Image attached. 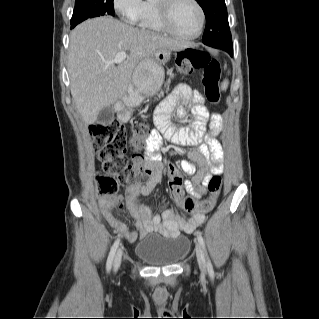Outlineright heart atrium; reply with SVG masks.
<instances>
[{
	"label": "right heart atrium",
	"mask_w": 319,
	"mask_h": 319,
	"mask_svg": "<svg viewBox=\"0 0 319 319\" xmlns=\"http://www.w3.org/2000/svg\"><path fill=\"white\" fill-rule=\"evenodd\" d=\"M143 6L142 0H114L113 7L117 14L127 23L138 22Z\"/></svg>",
	"instance_id": "1"
}]
</instances>
